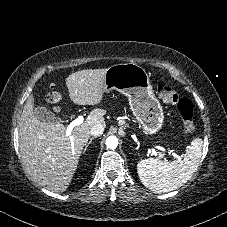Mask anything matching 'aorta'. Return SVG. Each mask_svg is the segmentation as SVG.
<instances>
[{
    "label": "aorta",
    "instance_id": "obj_1",
    "mask_svg": "<svg viewBox=\"0 0 227 227\" xmlns=\"http://www.w3.org/2000/svg\"><path fill=\"white\" fill-rule=\"evenodd\" d=\"M106 146L109 149H115L118 146V139L115 136H109L106 139Z\"/></svg>",
    "mask_w": 227,
    "mask_h": 227
}]
</instances>
